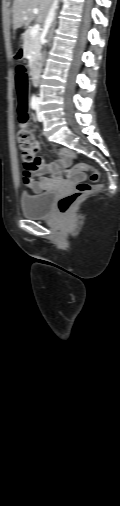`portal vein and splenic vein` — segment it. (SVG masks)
I'll list each match as a JSON object with an SVG mask.
<instances>
[{
	"label": "portal vein and splenic vein",
	"instance_id": "obj_1",
	"mask_svg": "<svg viewBox=\"0 0 120 506\" xmlns=\"http://www.w3.org/2000/svg\"><path fill=\"white\" fill-rule=\"evenodd\" d=\"M38 12H39V10L37 8L33 9L34 14H38ZM39 30H40V25L39 24L34 25L31 29V32H30L31 36H36L39 33Z\"/></svg>",
	"mask_w": 120,
	"mask_h": 506
}]
</instances>
